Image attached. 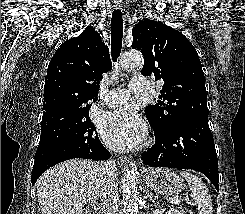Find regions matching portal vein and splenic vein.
I'll list each match as a JSON object with an SVG mask.
<instances>
[{"label": "portal vein and splenic vein", "mask_w": 245, "mask_h": 214, "mask_svg": "<svg viewBox=\"0 0 245 214\" xmlns=\"http://www.w3.org/2000/svg\"><path fill=\"white\" fill-rule=\"evenodd\" d=\"M183 201L181 198H175L170 201L172 205L180 204Z\"/></svg>", "instance_id": "portal-vein-and-splenic-vein-1"}]
</instances>
